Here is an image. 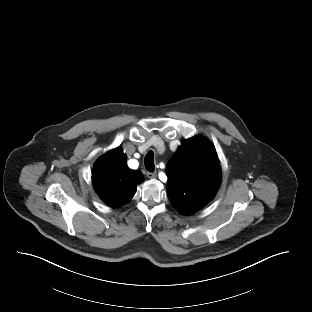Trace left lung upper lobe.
<instances>
[{"instance_id": "obj_1", "label": "left lung upper lobe", "mask_w": 312, "mask_h": 312, "mask_svg": "<svg viewBox=\"0 0 312 312\" xmlns=\"http://www.w3.org/2000/svg\"><path fill=\"white\" fill-rule=\"evenodd\" d=\"M167 194L172 205L189 215L205 206L221 183V170L213 145L204 137L185 140L166 168Z\"/></svg>"}]
</instances>
